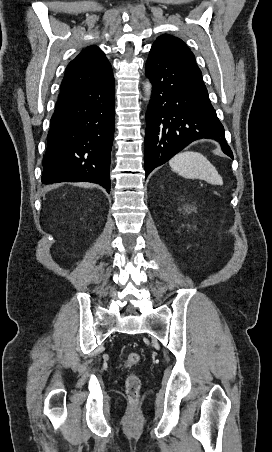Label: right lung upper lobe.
<instances>
[{
    "mask_svg": "<svg viewBox=\"0 0 272 452\" xmlns=\"http://www.w3.org/2000/svg\"><path fill=\"white\" fill-rule=\"evenodd\" d=\"M112 76V68L104 52L95 45L89 46L68 64L59 98L98 86Z\"/></svg>",
    "mask_w": 272,
    "mask_h": 452,
    "instance_id": "right-lung-upper-lobe-1",
    "label": "right lung upper lobe"
}]
</instances>
